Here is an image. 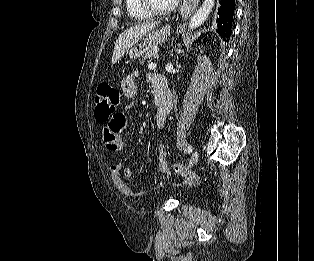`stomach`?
<instances>
[{
	"instance_id": "obj_1",
	"label": "stomach",
	"mask_w": 314,
	"mask_h": 261,
	"mask_svg": "<svg viewBox=\"0 0 314 261\" xmlns=\"http://www.w3.org/2000/svg\"><path fill=\"white\" fill-rule=\"evenodd\" d=\"M169 29L167 27L160 30H153L152 32L145 35L139 43L135 44L128 51L130 60H135L151 49L157 47L162 43L168 36Z\"/></svg>"
}]
</instances>
